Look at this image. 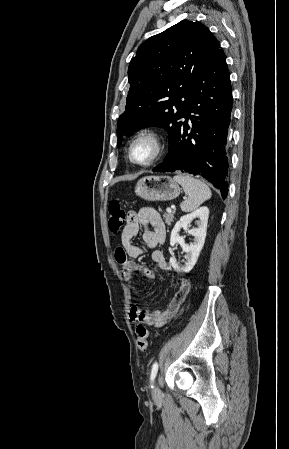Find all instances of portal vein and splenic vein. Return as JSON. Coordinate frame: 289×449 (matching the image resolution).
<instances>
[{
    "mask_svg": "<svg viewBox=\"0 0 289 449\" xmlns=\"http://www.w3.org/2000/svg\"><path fill=\"white\" fill-rule=\"evenodd\" d=\"M166 211H167L168 213H170V212H172V209H171V208H167Z\"/></svg>",
    "mask_w": 289,
    "mask_h": 449,
    "instance_id": "18ae733b",
    "label": "portal vein and splenic vein"
}]
</instances>
